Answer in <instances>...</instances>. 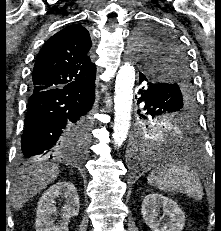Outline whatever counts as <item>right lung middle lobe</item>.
<instances>
[{"instance_id":"obj_1","label":"right lung middle lobe","mask_w":221,"mask_h":231,"mask_svg":"<svg viewBox=\"0 0 221 231\" xmlns=\"http://www.w3.org/2000/svg\"><path fill=\"white\" fill-rule=\"evenodd\" d=\"M90 124H91V120H90V113H89V119L82 120L73 129L80 138H85L87 144L90 138V132H89Z\"/></svg>"}]
</instances>
